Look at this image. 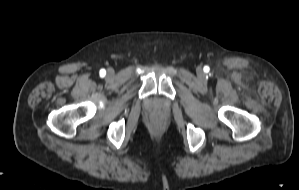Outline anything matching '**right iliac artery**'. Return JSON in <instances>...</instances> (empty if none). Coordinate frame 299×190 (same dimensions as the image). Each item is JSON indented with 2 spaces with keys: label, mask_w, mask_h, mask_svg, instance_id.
Masks as SVG:
<instances>
[{
  "label": "right iliac artery",
  "mask_w": 299,
  "mask_h": 190,
  "mask_svg": "<svg viewBox=\"0 0 299 190\" xmlns=\"http://www.w3.org/2000/svg\"><path fill=\"white\" fill-rule=\"evenodd\" d=\"M105 74H106V71L104 69H101L100 70V76H105Z\"/></svg>",
  "instance_id": "obj_1"
}]
</instances>
